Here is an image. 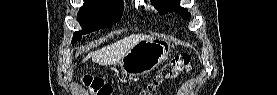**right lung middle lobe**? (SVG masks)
I'll list each match as a JSON object with an SVG mask.
<instances>
[{
  "label": "right lung middle lobe",
  "instance_id": "dd1d6c3e",
  "mask_svg": "<svg viewBox=\"0 0 277 95\" xmlns=\"http://www.w3.org/2000/svg\"><path fill=\"white\" fill-rule=\"evenodd\" d=\"M123 8V2L110 0L84 1L78 12V21L83 29L74 33L72 43L80 40L84 34L111 27L112 24L121 19Z\"/></svg>",
  "mask_w": 277,
  "mask_h": 95
}]
</instances>
